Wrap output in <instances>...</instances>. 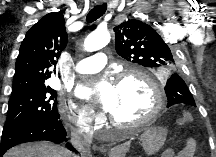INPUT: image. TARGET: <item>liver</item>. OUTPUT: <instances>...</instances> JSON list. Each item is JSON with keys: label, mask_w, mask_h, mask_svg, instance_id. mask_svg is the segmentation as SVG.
<instances>
[{"label": "liver", "mask_w": 216, "mask_h": 157, "mask_svg": "<svg viewBox=\"0 0 216 157\" xmlns=\"http://www.w3.org/2000/svg\"><path fill=\"white\" fill-rule=\"evenodd\" d=\"M119 149L114 148L110 156L118 154ZM72 153L59 145L48 142L22 144L10 149L4 157H72Z\"/></svg>", "instance_id": "1"}]
</instances>
